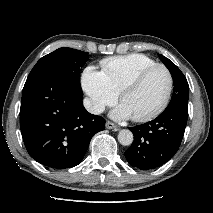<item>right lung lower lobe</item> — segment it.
<instances>
[{
	"mask_svg": "<svg viewBox=\"0 0 213 213\" xmlns=\"http://www.w3.org/2000/svg\"><path fill=\"white\" fill-rule=\"evenodd\" d=\"M83 93L48 74L27 78L20 108V129L29 155L46 167L78 165L91 138L105 129L101 116L90 114Z\"/></svg>",
	"mask_w": 213,
	"mask_h": 213,
	"instance_id": "1",
	"label": "right lung lower lobe"
}]
</instances>
